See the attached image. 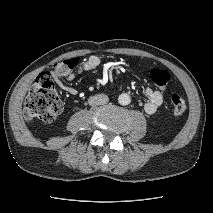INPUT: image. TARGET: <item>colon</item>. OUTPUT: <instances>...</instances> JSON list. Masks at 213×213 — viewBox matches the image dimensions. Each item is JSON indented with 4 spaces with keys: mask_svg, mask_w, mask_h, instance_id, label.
Segmentation results:
<instances>
[{
    "mask_svg": "<svg viewBox=\"0 0 213 213\" xmlns=\"http://www.w3.org/2000/svg\"><path fill=\"white\" fill-rule=\"evenodd\" d=\"M77 64L76 58L60 61L52 66L51 73L54 76H65ZM149 76L151 81L161 90L166 88L170 80L168 72L160 69H152ZM170 102L175 115H181L186 110L185 100L179 94H173ZM62 109L63 103L51 77L46 73L39 75L25 99L23 108L25 119L49 123L57 118Z\"/></svg>",
    "mask_w": 213,
    "mask_h": 213,
    "instance_id": "5ec220e1",
    "label": "colon"
}]
</instances>
